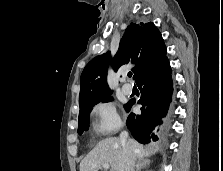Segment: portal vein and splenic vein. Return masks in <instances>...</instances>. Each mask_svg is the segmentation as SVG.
<instances>
[{"mask_svg": "<svg viewBox=\"0 0 223 171\" xmlns=\"http://www.w3.org/2000/svg\"><path fill=\"white\" fill-rule=\"evenodd\" d=\"M102 167L107 170V169H109L110 166H109V164H103ZM95 171H97V170H95Z\"/></svg>", "mask_w": 223, "mask_h": 171, "instance_id": "portal-vein-and-splenic-vein-1", "label": "portal vein and splenic vein"}]
</instances>
